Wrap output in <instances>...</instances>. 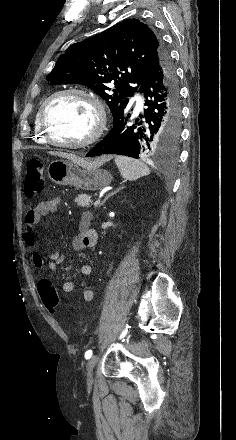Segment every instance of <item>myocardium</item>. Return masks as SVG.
<instances>
[{"label": "myocardium", "mask_w": 236, "mask_h": 440, "mask_svg": "<svg viewBox=\"0 0 236 440\" xmlns=\"http://www.w3.org/2000/svg\"><path fill=\"white\" fill-rule=\"evenodd\" d=\"M65 95H74L86 99L91 104L95 113V125L91 134L86 139L77 143H65L54 140L47 127L46 112L49 105L56 98ZM106 123L107 113L104 104L102 103L100 98L92 92L80 88H65L54 92L43 102L39 112V125L47 143L65 149H80L91 146L92 144L97 142L102 136L106 128Z\"/></svg>", "instance_id": "f54148a6"}]
</instances>
